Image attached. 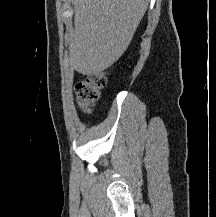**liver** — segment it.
<instances>
[{"label": "liver", "instance_id": "6515ba94", "mask_svg": "<svg viewBox=\"0 0 216 217\" xmlns=\"http://www.w3.org/2000/svg\"><path fill=\"white\" fill-rule=\"evenodd\" d=\"M75 31L70 63L83 75H96L125 52L149 0H73Z\"/></svg>", "mask_w": 216, "mask_h": 217}]
</instances>
